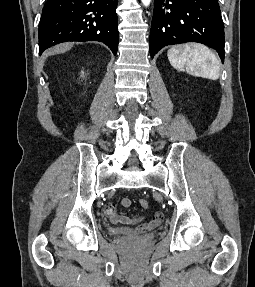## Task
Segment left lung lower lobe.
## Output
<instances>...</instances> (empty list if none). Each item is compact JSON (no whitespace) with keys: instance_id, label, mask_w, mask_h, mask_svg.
I'll return each instance as SVG.
<instances>
[{"instance_id":"left-lung-lower-lobe-1","label":"left lung lower lobe","mask_w":255,"mask_h":287,"mask_svg":"<svg viewBox=\"0 0 255 287\" xmlns=\"http://www.w3.org/2000/svg\"><path fill=\"white\" fill-rule=\"evenodd\" d=\"M190 41L215 49L224 62V25L217 0H155L151 57L164 46Z\"/></svg>"}]
</instances>
